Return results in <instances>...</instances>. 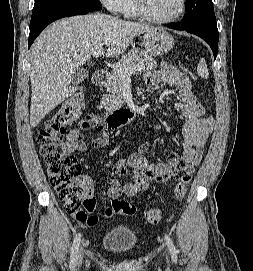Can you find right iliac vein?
Segmentation results:
<instances>
[{"label":"right iliac vein","mask_w":253,"mask_h":271,"mask_svg":"<svg viewBox=\"0 0 253 271\" xmlns=\"http://www.w3.org/2000/svg\"><path fill=\"white\" fill-rule=\"evenodd\" d=\"M82 259H83V253H82V251H81V252H80V256H79V264H81Z\"/></svg>","instance_id":"1"}]
</instances>
